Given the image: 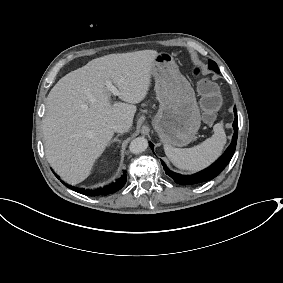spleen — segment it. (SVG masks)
I'll return each instance as SVG.
<instances>
[{
    "instance_id": "obj_1",
    "label": "spleen",
    "mask_w": 283,
    "mask_h": 283,
    "mask_svg": "<svg viewBox=\"0 0 283 283\" xmlns=\"http://www.w3.org/2000/svg\"><path fill=\"white\" fill-rule=\"evenodd\" d=\"M213 130L211 137L190 148L180 149L165 144L166 155L176 166L190 171L207 166L219 156L226 142L221 124H215Z\"/></svg>"
}]
</instances>
